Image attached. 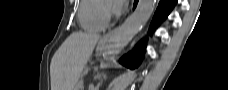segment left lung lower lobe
Returning <instances> with one entry per match:
<instances>
[{"instance_id":"left-lung-lower-lobe-1","label":"left lung lower lobe","mask_w":228,"mask_h":90,"mask_svg":"<svg viewBox=\"0 0 228 90\" xmlns=\"http://www.w3.org/2000/svg\"><path fill=\"white\" fill-rule=\"evenodd\" d=\"M137 2L138 1L135 0L134 8L136 7ZM176 2L177 0H160L158 8L154 14L153 21L150 25L151 30H153L163 19H165L168 16L170 11L175 6ZM144 51H145V42H141L140 44H138L135 51L125 55L120 60V63L130 69H134L141 63V60L143 59Z\"/></svg>"}]
</instances>
